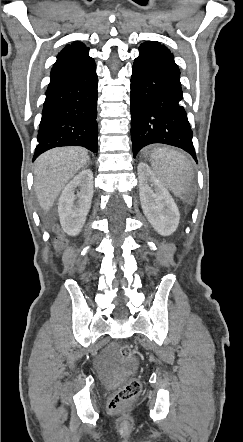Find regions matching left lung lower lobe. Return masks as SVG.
Segmentation results:
<instances>
[{
    "mask_svg": "<svg viewBox=\"0 0 243 442\" xmlns=\"http://www.w3.org/2000/svg\"><path fill=\"white\" fill-rule=\"evenodd\" d=\"M182 100L180 71L173 54L156 41L141 44L131 76L134 157L146 145L163 143L187 151L197 162Z\"/></svg>",
    "mask_w": 243,
    "mask_h": 442,
    "instance_id": "obj_1",
    "label": "left lung lower lobe"
}]
</instances>
